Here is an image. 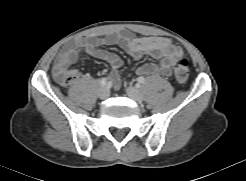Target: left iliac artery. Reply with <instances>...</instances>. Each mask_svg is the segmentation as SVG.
Segmentation results:
<instances>
[{
	"mask_svg": "<svg viewBox=\"0 0 246 181\" xmlns=\"http://www.w3.org/2000/svg\"><path fill=\"white\" fill-rule=\"evenodd\" d=\"M138 82H139L140 84H143V83L145 82V78H144L143 76H140V77L138 78Z\"/></svg>",
	"mask_w": 246,
	"mask_h": 181,
	"instance_id": "obj_1",
	"label": "left iliac artery"
}]
</instances>
